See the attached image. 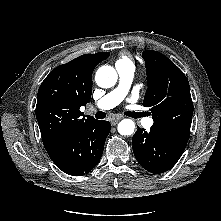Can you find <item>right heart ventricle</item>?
I'll use <instances>...</instances> for the list:
<instances>
[{
	"label": "right heart ventricle",
	"instance_id": "obj_1",
	"mask_svg": "<svg viewBox=\"0 0 221 221\" xmlns=\"http://www.w3.org/2000/svg\"><path fill=\"white\" fill-rule=\"evenodd\" d=\"M115 66H134V63L129 55L122 54L120 58L116 61Z\"/></svg>",
	"mask_w": 221,
	"mask_h": 221
}]
</instances>
